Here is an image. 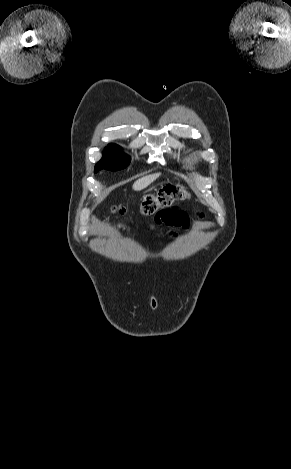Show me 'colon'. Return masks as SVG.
Segmentation results:
<instances>
[{"label":"colon","mask_w":291,"mask_h":469,"mask_svg":"<svg viewBox=\"0 0 291 469\" xmlns=\"http://www.w3.org/2000/svg\"><path fill=\"white\" fill-rule=\"evenodd\" d=\"M188 197L187 191L181 186L168 185L154 194L145 195L140 202V212L145 216L163 212L164 208L170 207L177 201ZM116 212L124 214L125 208L119 206Z\"/></svg>","instance_id":"1"}]
</instances>
